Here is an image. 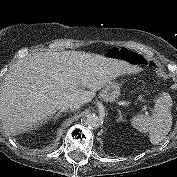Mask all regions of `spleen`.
Returning a JSON list of instances; mask_svg holds the SVG:
<instances>
[{
	"label": "spleen",
	"instance_id": "1",
	"mask_svg": "<svg viewBox=\"0 0 177 177\" xmlns=\"http://www.w3.org/2000/svg\"><path fill=\"white\" fill-rule=\"evenodd\" d=\"M172 99L163 92L155 101L152 115H136L131 125L142 133H149L151 144H159L170 132L172 126Z\"/></svg>",
	"mask_w": 177,
	"mask_h": 177
}]
</instances>
